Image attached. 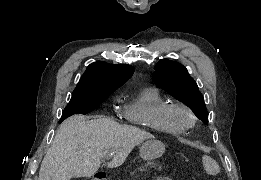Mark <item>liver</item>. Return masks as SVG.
<instances>
[{"label": "liver", "mask_w": 261, "mask_h": 180, "mask_svg": "<svg viewBox=\"0 0 261 180\" xmlns=\"http://www.w3.org/2000/svg\"><path fill=\"white\" fill-rule=\"evenodd\" d=\"M154 138L149 132L117 124L107 116H71L60 128L42 160L38 180L91 178L100 168V158L114 152L107 168L124 164L135 146Z\"/></svg>", "instance_id": "1"}]
</instances>
